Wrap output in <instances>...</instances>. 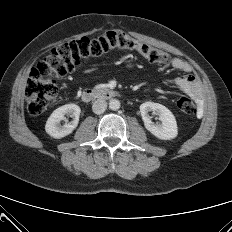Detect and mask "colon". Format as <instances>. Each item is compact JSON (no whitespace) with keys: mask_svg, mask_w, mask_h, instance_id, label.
<instances>
[{"mask_svg":"<svg viewBox=\"0 0 232 232\" xmlns=\"http://www.w3.org/2000/svg\"><path fill=\"white\" fill-rule=\"evenodd\" d=\"M113 50L135 51L156 64H166L170 60L167 52L116 30L107 31L96 38H81L63 43L31 70L25 87L28 112L34 116L39 115L56 101L58 95L56 78L66 76L89 59L100 57ZM177 106L186 115L196 112L192 99L187 96L180 97Z\"/></svg>","mask_w":232,"mask_h":232,"instance_id":"1","label":"colon"}]
</instances>
